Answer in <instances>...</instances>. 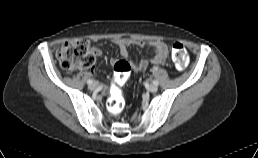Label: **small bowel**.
<instances>
[{
  "label": "small bowel",
  "instance_id": "1",
  "mask_svg": "<svg viewBox=\"0 0 258 158\" xmlns=\"http://www.w3.org/2000/svg\"><path fill=\"white\" fill-rule=\"evenodd\" d=\"M112 42L119 48L121 56L124 59L128 58V48L130 46L148 47L153 51V56L150 60L142 59L139 62L129 61L131 69L134 72H141L146 70V68L149 65V62L155 65L164 64L167 61L169 54L167 45L159 40L144 41L140 39L116 38ZM91 50L95 56H100L102 54V50L98 46L92 47ZM115 62H117V60L112 59L111 63L114 64ZM101 89L103 92H106V89L104 87H102Z\"/></svg>",
  "mask_w": 258,
  "mask_h": 158
}]
</instances>
